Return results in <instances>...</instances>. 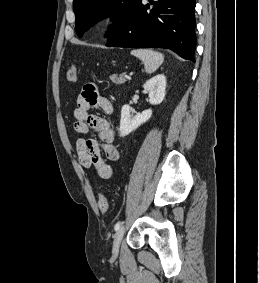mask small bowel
<instances>
[{"mask_svg": "<svg viewBox=\"0 0 259 283\" xmlns=\"http://www.w3.org/2000/svg\"><path fill=\"white\" fill-rule=\"evenodd\" d=\"M92 107H99L106 114L113 110L111 100L102 96L94 84L88 83L83 86L74 110L73 128L80 135L76 140L77 158L84 168H93L100 178L111 179L114 171L106 159L117 161L120 158L114 144L115 132L107 119L90 113ZM91 130L98 134V140L84 137Z\"/></svg>", "mask_w": 259, "mask_h": 283, "instance_id": "small-bowel-1", "label": "small bowel"}]
</instances>
